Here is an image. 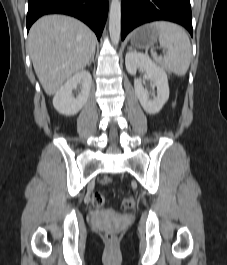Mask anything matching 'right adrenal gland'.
<instances>
[{"label":"right adrenal gland","mask_w":227,"mask_h":265,"mask_svg":"<svg viewBox=\"0 0 227 265\" xmlns=\"http://www.w3.org/2000/svg\"><path fill=\"white\" fill-rule=\"evenodd\" d=\"M94 56H95V53L92 55L91 60H90L89 63L87 64L88 66H90L91 63L94 62Z\"/></svg>","instance_id":"1"}]
</instances>
